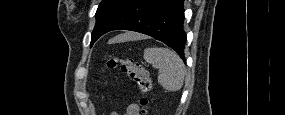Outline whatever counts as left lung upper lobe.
Segmentation results:
<instances>
[{
	"mask_svg": "<svg viewBox=\"0 0 285 115\" xmlns=\"http://www.w3.org/2000/svg\"><path fill=\"white\" fill-rule=\"evenodd\" d=\"M130 1L131 0H102L95 14L96 24L92 32L91 46L104 34L107 25Z\"/></svg>",
	"mask_w": 285,
	"mask_h": 115,
	"instance_id": "5c2ea615",
	"label": "left lung upper lobe"
}]
</instances>
